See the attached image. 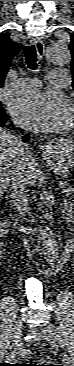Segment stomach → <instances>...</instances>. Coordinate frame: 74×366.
<instances>
[{
	"mask_svg": "<svg viewBox=\"0 0 74 366\" xmlns=\"http://www.w3.org/2000/svg\"><path fill=\"white\" fill-rule=\"evenodd\" d=\"M59 151V146H57V148L54 150V152L53 153H56V152H58Z\"/></svg>",
	"mask_w": 74,
	"mask_h": 366,
	"instance_id": "stomach-1",
	"label": "stomach"
}]
</instances>
